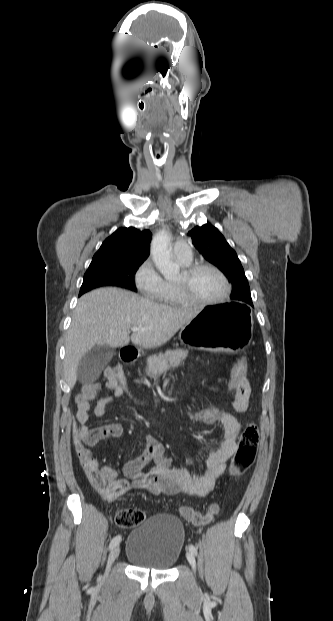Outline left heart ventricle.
<instances>
[{"label": "left heart ventricle", "mask_w": 333, "mask_h": 621, "mask_svg": "<svg viewBox=\"0 0 333 621\" xmlns=\"http://www.w3.org/2000/svg\"><path fill=\"white\" fill-rule=\"evenodd\" d=\"M182 278L183 274L181 272L176 281H179ZM189 289L195 298L211 300L216 299L223 294L225 285L222 279L215 272L211 270H202L190 279Z\"/></svg>", "instance_id": "b2bd125f"}]
</instances>
